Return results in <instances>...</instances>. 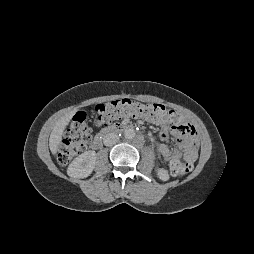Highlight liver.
<instances>
[{
    "instance_id": "6515ba94",
    "label": "liver",
    "mask_w": 254,
    "mask_h": 254,
    "mask_svg": "<svg viewBox=\"0 0 254 254\" xmlns=\"http://www.w3.org/2000/svg\"><path fill=\"white\" fill-rule=\"evenodd\" d=\"M74 114L75 111H71L70 113L61 117L53 127L49 138V148L53 155L57 153L59 144L62 140L63 132Z\"/></svg>"
}]
</instances>
